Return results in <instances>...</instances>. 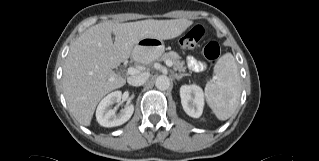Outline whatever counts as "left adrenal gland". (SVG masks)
Wrapping results in <instances>:
<instances>
[{
  "instance_id": "a2214340",
  "label": "left adrenal gland",
  "mask_w": 319,
  "mask_h": 161,
  "mask_svg": "<svg viewBox=\"0 0 319 161\" xmlns=\"http://www.w3.org/2000/svg\"><path fill=\"white\" fill-rule=\"evenodd\" d=\"M188 74H174L175 79L180 80L182 77L187 76Z\"/></svg>"
}]
</instances>
